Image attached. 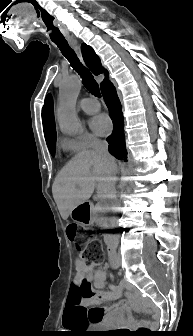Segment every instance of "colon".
Instances as JSON below:
<instances>
[{
  "label": "colon",
  "instance_id": "obj_1",
  "mask_svg": "<svg viewBox=\"0 0 193 336\" xmlns=\"http://www.w3.org/2000/svg\"><path fill=\"white\" fill-rule=\"evenodd\" d=\"M66 234L68 239L73 242L76 246V249L83 259H95L100 255L101 245L100 243L93 238L88 240H83L81 238V229L75 223H69L66 227ZM93 289L88 286L82 291V296L85 298L92 297ZM136 336H149L151 333L146 329L140 328L136 331Z\"/></svg>",
  "mask_w": 193,
  "mask_h": 336
}]
</instances>
